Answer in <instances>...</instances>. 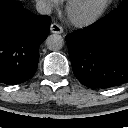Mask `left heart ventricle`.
<instances>
[{"label": "left heart ventricle", "instance_id": "b2bd125f", "mask_svg": "<svg viewBox=\"0 0 128 128\" xmlns=\"http://www.w3.org/2000/svg\"><path fill=\"white\" fill-rule=\"evenodd\" d=\"M101 0H83L80 6L76 9L77 15H84L93 10Z\"/></svg>", "mask_w": 128, "mask_h": 128}]
</instances>
